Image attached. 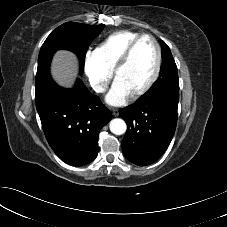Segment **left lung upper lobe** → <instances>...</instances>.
Here are the masks:
<instances>
[{
	"label": "left lung upper lobe",
	"mask_w": 227,
	"mask_h": 227,
	"mask_svg": "<svg viewBox=\"0 0 227 227\" xmlns=\"http://www.w3.org/2000/svg\"><path fill=\"white\" fill-rule=\"evenodd\" d=\"M162 64L160 67V75L158 80L152 85L147 93L142 95L138 100H141L149 95L159 92L169 93L179 96V81L177 66L167 44L162 41Z\"/></svg>",
	"instance_id": "5c2ea615"
}]
</instances>
